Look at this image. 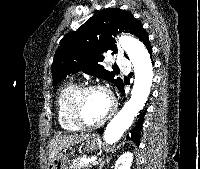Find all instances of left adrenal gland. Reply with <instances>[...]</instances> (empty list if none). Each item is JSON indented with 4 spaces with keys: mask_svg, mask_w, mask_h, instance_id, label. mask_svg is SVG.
Masks as SVG:
<instances>
[{
    "mask_svg": "<svg viewBox=\"0 0 200 169\" xmlns=\"http://www.w3.org/2000/svg\"><path fill=\"white\" fill-rule=\"evenodd\" d=\"M111 160V157H107L106 159L101 158L99 160V169H102L103 166Z\"/></svg>",
    "mask_w": 200,
    "mask_h": 169,
    "instance_id": "obj_1",
    "label": "left adrenal gland"
}]
</instances>
